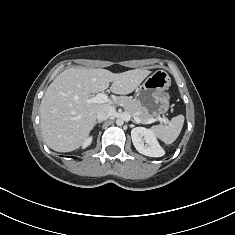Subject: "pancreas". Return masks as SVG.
Wrapping results in <instances>:
<instances>
[{"label": "pancreas", "instance_id": "1", "mask_svg": "<svg viewBox=\"0 0 235 235\" xmlns=\"http://www.w3.org/2000/svg\"><path fill=\"white\" fill-rule=\"evenodd\" d=\"M118 103L133 117H138L142 122L152 118V116L131 97L121 96L118 98Z\"/></svg>", "mask_w": 235, "mask_h": 235}]
</instances>
